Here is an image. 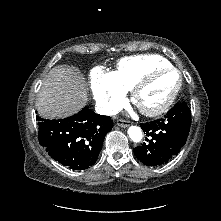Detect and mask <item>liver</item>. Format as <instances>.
I'll use <instances>...</instances> for the list:
<instances>
[{"label": "liver", "instance_id": "1", "mask_svg": "<svg viewBox=\"0 0 221 221\" xmlns=\"http://www.w3.org/2000/svg\"><path fill=\"white\" fill-rule=\"evenodd\" d=\"M87 103V85L73 68L54 67L37 95L38 114L45 118H63L77 113Z\"/></svg>", "mask_w": 221, "mask_h": 221}]
</instances>
